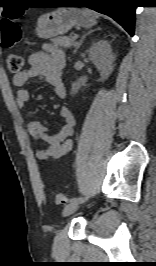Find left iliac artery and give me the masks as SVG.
I'll use <instances>...</instances> for the list:
<instances>
[{
    "label": "left iliac artery",
    "instance_id": "left-iliac-artery-1",
    "mask_svg": "<svg viewBox=\"0 0 156 266\" xmlns=\"http://www.w3.org/2000/svg\"><path fill=\"white\" fill-rule=\"evenodd\" d=\"M91 197H94V194H91ZM85 199H88V196H85ZM84 196H79V199L72 198L69 202H75V203H84L85 202Z\"/></svg>",
    "mask_w": 156,
    "mask_h": 266
}]
</instances>
